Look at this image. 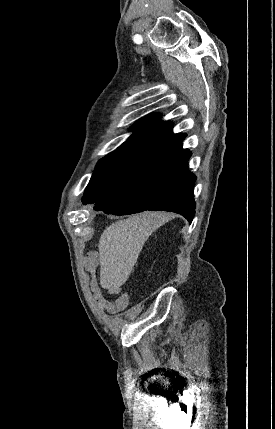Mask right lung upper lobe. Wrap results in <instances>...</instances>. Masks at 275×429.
<instances>
[{"mask_svg":"<svg viewBox=\"0 0 275 429\" xmlns=\"http://www.w3.org/2000/svg\"><path fill=\"white\" fill-rule=\"evenodd\" d=\"M160 114L151 113L131 127L133 134L116 151L152 159L179 144L185 134H173L172 123L161 122Z\"/></svg>","mask_w":275,"mask_h":429,"instance_id":"cb5924a9","label":"right lung upper lobe"}]
</instances>
